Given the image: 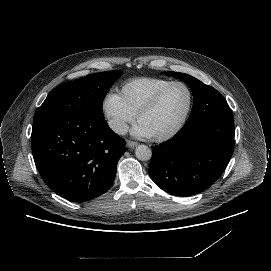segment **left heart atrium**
I'll return each mask as SVG.
<instances>
[{
	"instance_id": "39dd6f15",
	"label": "left heart atrium",
	"mask_w": 271,
	"mask_h": 271,
	"mask_svg": "<svg viewBox=\"0 0 271 271\" xmlns=\"http://www.w3.org/2000/svg\"><path fill=\"white\" fill-rule=\"evenodd\" d=\"M132 135L136 138H148L150 134L146 130L145 126L139 122L132 129Z\"/></svg>"
}]
</instances>
